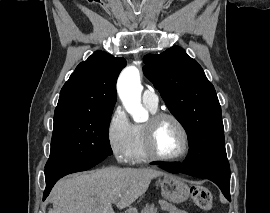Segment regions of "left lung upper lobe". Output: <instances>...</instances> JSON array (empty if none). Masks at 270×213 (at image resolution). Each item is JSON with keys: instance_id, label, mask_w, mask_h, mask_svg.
Returning <instances> with one entry per match:
<instances>
[{"instance_id": "left-lung-upper-lobe-1", "label": "left lung upper lobe", "mask_w": 270, "mask_h": 213, "mask_svg": "<svg viewBox=\"0 0 270 213\" xmlns=\"http://www.w3.org/2000/svg\"><path fill=\"white\" fill-rule=\"evenodd\" d=\"M145 76L189 133V154L203 178L230 179L221 107L201 66L178 46L144 56Z\"/></svg>"}]
</instances>
